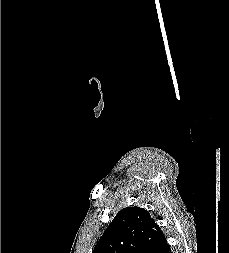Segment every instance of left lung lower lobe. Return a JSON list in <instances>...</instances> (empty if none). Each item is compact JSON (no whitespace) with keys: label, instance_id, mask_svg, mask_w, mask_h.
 Wrapping results in <instances>:
<instances>
[{"label":"left lung lower lobe","instance_id":"obj_1","mask_svg":"<svg viewBox=\"0 0 229 253\" xmlns=\"http://www.w3.org/2000/svg\"><path fill=\"white\" fill-rule=\"evenodd\" d=\"M155 253H171V249L169 244L167 243L166 239L164 238V240L159 244L157 250L155 251Z\"/></svg>","mask_w":229,"mask_h":253}]
</instances>
